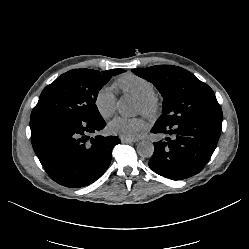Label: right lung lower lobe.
I'll use <instances>...</instances> for the list:
<instances>
[{"label":"right lung lower lobe","mask_w":249,"mask_h":249,"mask_svg":"<svg viewBox=\"0 0 249 249\" xmlns=\"http://www.w3.org/2000/svg\"><path fill=\"white\" fill-rule=\"evenodd\" d=\"M105 125L103 119L85 122L60 115L36 117L30 121L32 146L55 182L83 187L102 176L110 164L113 147L120 143L116 136L89 138Z\"/></svg>","instance_id":"1"}]
</instances>
